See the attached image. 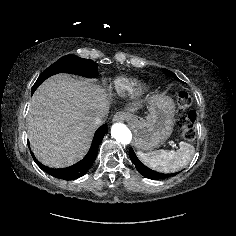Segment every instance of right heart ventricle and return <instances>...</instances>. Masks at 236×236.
<instances>
[{
	"mask_svg": "<svg viewBox=\"0 0 236 236\" xmlns=\"http://www.w3.org/2000/svg\"><path fill=\"white\" fill-rule=\"evenodd\" d=\"M138 88V82L128 78H120L113 82V89L119 94L133 93Z\"/></svg>",
	"mask_w": 236,
	"mask_h": 236,
	"instance_id": "e07e8e85",
	"label": "right heart ventricle"
}]
</instances>
